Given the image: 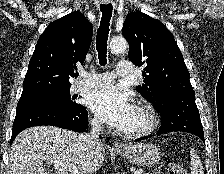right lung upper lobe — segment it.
I'll return each mask as SVG.
<instances>
[{
    "label": "right lung upper lobe",
    "instance_id": "right-lung-upper-lobe-1",
    "mask_svg": "<svg viewBox=\"0 0 224 174\" xmlns=\"http://www.w3.org/2000/svg\"><path fill=\"white\" fill-rule=\"evenodd\" d=\"M92 24L78 12L52 22L40 36L23 81L22 94L46 86H71L76 63H84Z\"/></svg>",
    "mask_w": 224,
    "mask_h": 174
}]
</instances>
